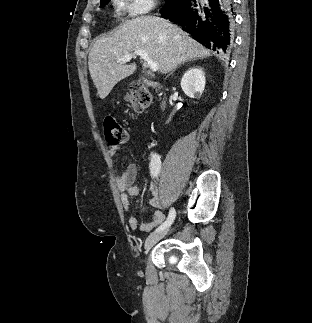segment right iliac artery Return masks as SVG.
Returning a JSON list of instances; mask_svg holds the SVG:
<instances>
[{
  "instance_id": "1",
  "label": "right iliac artery",
  "mask_w": 312,
  "mask_h": 323,
  "mask_svg": "<svg viewBox=\"0 0 312 323\" xmlns=\"http://www.w3.org/2000/svg\"><path fill=\"white\" fill-rule=\"evenodd\" d=\"M160 157L157 154H152L151 156V163H150V170H151V175L153 177H156L159 173L160 170ZM175 219V210L174 208H171L169 211V215L167 220L159 226L156 231H161L170 226Z\"/></svg>"
}]
</instances>
